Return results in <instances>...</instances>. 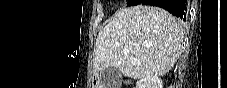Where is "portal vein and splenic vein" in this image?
Segmentation results:
<instances>
[{
    "instance_id": "1",
    "label": "portal vein and splenic vein",
    "mask_w": 227,
    "mask_h": 88,
    "mask_svg": "<svg viewBox=\"0 0 227 88\" xmlns=\"http://www.w3.org/2000/svg\"><path fill=\"white\" fill-rule=\"evenodd\" d=\"M123 53L129 54L130 51H129L128 49H123ZM131 60H132V61H136L135 58H133V57H131Z\"/></svg>"
}]
</instances>
